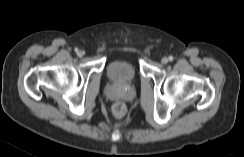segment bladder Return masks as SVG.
I'll list each match as a JSON object with an SVG mask.
<instances>
[{
    "mask_svg": "<svg viewBox=\"0 0 244 157\" xmlns=\"http://www.w3.org/2000/svg\"><path fill=\"white\" fill-rule=\"evenodd\" d=\"M105 76L112 84L127 87L136 82L138 72L135 65L129 60L114 59L106 64Z\"/></svg>",
    "mask_w": 244,
    "mask_h": 157,
    "instance_id": "1",
    "label": "bladder"
}]
</instances>
